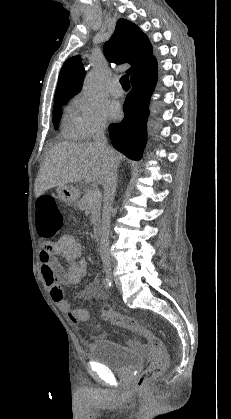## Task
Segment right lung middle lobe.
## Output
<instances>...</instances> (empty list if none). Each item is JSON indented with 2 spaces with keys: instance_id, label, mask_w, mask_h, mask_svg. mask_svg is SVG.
<instances>
[{
  "instance_id": "obj_1",
  "label": "right lung middle lobe",
  "mask_w": 231,
  "mask_h": 419,
  "mask_svg": "<svg viewBox=\"0 0 231 419\" xmlns=\"http://www.w3.org/2000/svg\"><path fill=\"white\" fill-rule=\"evenodd\" d=\"M68 99L69 98L55 101V104L53 107V123L55 127L58 126L59 121L61 119V115H62L61 107L68 101Z\"/></svg>"
}]
</instances>
